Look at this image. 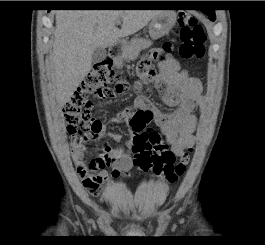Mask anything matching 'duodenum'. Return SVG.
<instances>
[{
    "label": "duodenum",
    "instance_id": "1",
    "mask_svg": "<svg viewBox=\"0 0 265 245\" xmlns=\"http://www.w3.org/2000/svg\"><path fill=\"white\" fill-rule=\"evenodd\" d=\"M123 43L121 41H116L110 46L109 53L111 57L115 59L122 58L123 54Z\"/></svg>",
    "mask_w": 265,
    "mask_h": 245
}]
</instances>
